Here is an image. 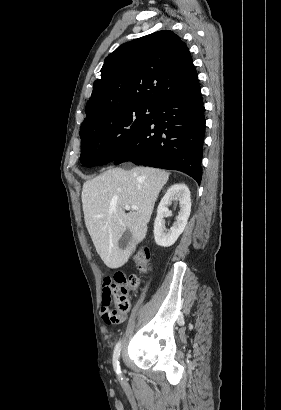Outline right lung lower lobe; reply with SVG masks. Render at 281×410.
<instances>
[{"mask_svg": "<svg viewBox=\"0 0 281 410\" xmlns=\"http://www.w3.org/2000/svg\"><path fill=\"white\" fill-rule=\"evenodd\" d=\"M205 117L200 84L159 100L151 120L114 161L182 171L198 183L202 178L201 160Z\"/></svg>", "mask_w": 281, "mask_h": 410, "instance_id": "1", "label": "right lung lower lobe"}]
</instances>
